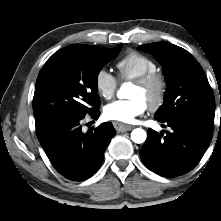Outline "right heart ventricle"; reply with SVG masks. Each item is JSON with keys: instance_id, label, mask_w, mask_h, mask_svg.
<instances>
[{"instance_id": "1", "label": "right heart ventricle", "mask_w": 221, "mask_h": 221, "mask_svg": "<svg viewBox=\"0 0 221 221\" xmlns=\"http://www.w3.org/2000/svg\"><path fill=\"white\" fill-rule=\"evenodd\" d=\"M116 68L119 79L128 81L157 71L158 65L152 58L137 51H131L117 62Z\"/></svg>"}]
</instances>
